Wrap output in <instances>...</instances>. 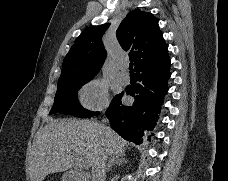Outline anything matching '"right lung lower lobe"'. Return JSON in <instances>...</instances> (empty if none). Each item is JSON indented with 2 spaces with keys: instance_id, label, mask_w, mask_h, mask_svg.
<instances>
[{
  "instance_id": "98d812e1",
  "label": "right lung lower lobe",
  "mask_w": 228,
  "mask_h": 181,
  "mask_svg": "<svg viewBox=\"0 0 228 181\" xmlns=\"http://www.w3.org/2000/svg\"><path fill=\"white\" fill-rule=\"evenodd\" d=\"M170 59L168 46L135 67L137 83L128 85L127 95L135 98L131 106L121 103L123 93L111 103L106 115L111 128L125 140L140 144L142 136L150 139L149 131L158 120L164 95L168 90Z\"/></svg>"
}]
</instances>
